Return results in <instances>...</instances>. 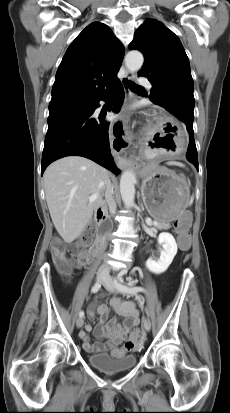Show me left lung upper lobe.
<instances>
[{
  "label": "left lung upper lobe",
  "instance_id": "left-lung-upper-lobe-1",
  "mask_svg": "<svg viewBox=\"0 0 230 413\" xmlns=\"http://www.w3.org/2000/svg\"><path fill=\"white\" fill-rule=\"evenodd\" d=\"M129 49L144 55L138 72L148 78L153 88L150 100L172 113L185 127L193 124V79L188 57L179 38L165 25L148 18L135 32Z\"/></svg>",
  "mask_w": 230,
  "mask_h": 413
}]
</instances>
